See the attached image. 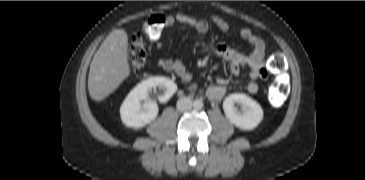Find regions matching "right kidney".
I'll list each match as a JSON object with an SVG mask.
<instances>
[{
	"label": "right kidney",
	"mask_w": 365,
	"mask_h": 180,
	"mask_svg": "<svg viewBox=\"0 0 365 180\" xmlns=\"http://www.w3.org/2000/svg\"><path fill=\"white\" fill-rule=\"evenodd\" d=\"M156 88L163 90L158 100L165 103L176 92L177 85L169 78L159 76L139 83L130 91L120 107L121 120L125 126L139 129L155 120L158 115V105L148 98L149 93Z\"/></svg>",
	"instance_id": "right-kidney-1"
}]
</instances>
